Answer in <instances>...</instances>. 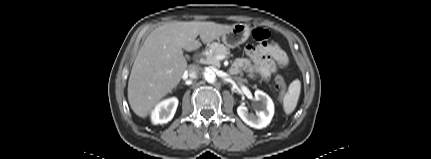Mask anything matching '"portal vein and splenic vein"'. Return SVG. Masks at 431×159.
<instances>
[{
  "label": "portal vein and splenic vein",
  "mask_w": 431,
  "mask_h": 159,
  "mask_svg": "<svg viewBox=\"0 0 431 159\" xmlns=\"http://www.w3.org/2000/svg\"><path fill=\"white\" fill-rule=\"evenodd\" d=\"M216 59L223 60V59H225V55H217Z\"/></svg>",
  "instance_id": "18ae733b"
}]
</instances>
